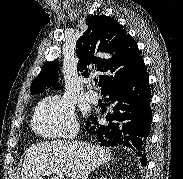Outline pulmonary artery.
Here are the masks:
<instances>
[{"label":"pulmonary artery","instance_id":"1","mask_svg":"<svg viewBox=\"0 0 183 179\" xmlns=\"http://www.w3.org/2000/svg\"><path fill=\"white\" fill-rule=\"evenodd\" d=\"M86 98L92 102V103H97L99 101V94L93 90H89L86 92Z\"/></svg>","mask_w":183,"mask_h":179}]
</instances>
